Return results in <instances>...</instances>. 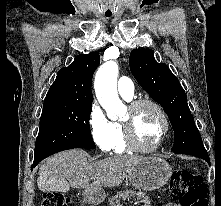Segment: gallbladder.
Listing matches in <instances>:
<instances>
[{"instance_id": "obj_1", "label": "gallbladder", "mask_w": 221, "mask_h": 206, "mask_svg": "<svg viewBox=\"0 0 221 206\" xmlns=\"http://www.w3.org/2000/svg\"><path fill=\"white\" fill-rule=\"evenodd\" d=\"M68 181H39L38 190H45V194H64Z\"/></svg>"}]
</instances>
